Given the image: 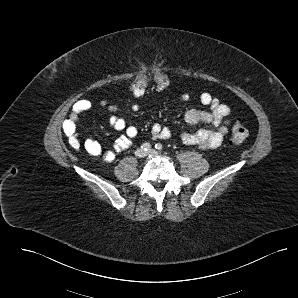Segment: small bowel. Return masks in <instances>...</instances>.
<instances>
[{
  "instance_id": "c3829d8e",
  "label": "small bowel",
  "mask_w": 298,
  "mask_h": 298,
  "mask_svg": "<svg viewBox=\"0 0 298 298\" xmlns=\"http://www.w3.org/2000/svg\"><path fill=\"white\" fill-rule=\"evenodd\" d=\"M179 99L181 102H188L190 100V95L188 93H182L180 94ZM199 100L203 105L208 106L209 110L190 109L185 113L184 119L188 124L194 125L204 123L207 127L192 133L182 132L180 134V139L184 144L195 146L200 149L217 148L222 144L225 135L228 133L231 109L228 105L221 103L218 98L207 92L202 93ZM102 104L107 106L111 113L109 117L110 125L115 130L124 131V134L115 140L112 149L104 150L101 144L92 138H88L84 141V149L92 156L101 157L106 162H113L118 153L131 146L132 139L136 137L138 130L135 126H127L125 120L117 115L118 109L115 105L109 104L107 101H102ZM91 108L92 102L90 100L80 99L72 106L69 117L77 120L81 113L86 112ZM140 109L141 105L138 103L131 106L133 112H138ZM170 136L171 131L169 128L163 127L158 123L152 125V138L165 140Z\"/></svg>"
}]
</instances>
